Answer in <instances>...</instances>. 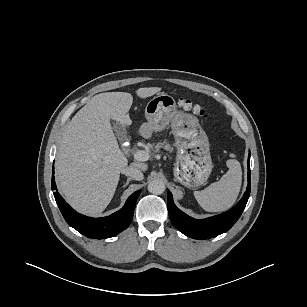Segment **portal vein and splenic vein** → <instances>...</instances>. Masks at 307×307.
Masks as SVG:
<instances>
[{
  "instance_id": "obj_1",
  "label": "portal vein and splenic vein",
  "mask_w": 307,
  "mask_h": 307,
  "mask_svg": "<svg viewBox=\"0 0 307 307\" xmlns=\"http://www.w3.org/2000/svg\"><path fill=\"white\" fill-rule=\"evenodd\" d=\"M134 158L137 161H147L150 158V155L147 151L139 150L135 152Z\"/></svg>"
}]
</instances>
